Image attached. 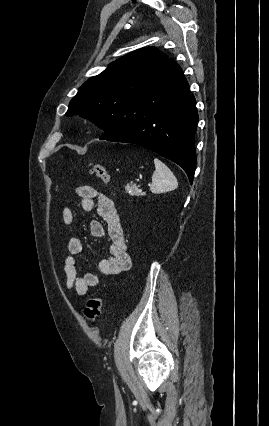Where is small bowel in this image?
Here are the masks:
<instances>
[{
  "mask_svg": "<svg viewBox=\"0 0 269 426\" xmlns=\"http://www.w3.org/2000/svg\"><path fill=\"white\" fill-rule=\"evenodd\" d=\"M76 193L81 199L82 210L91 212L96 209L98 216L106 224L105 230L102 221L93 220L90 223L92 237L102 238L107 231L111 241L110 257L100 262V272L104 275L116 276L127 271L131 266V258L125 242L124 229L113 201L89 185L79 186ZM62 221L66 225L74 224L75 212L71 208H64ZM82 248L83 243L80 238L71 237L68 240V255L64 261V273L66 287L74 290L80 296H87L91 288L99 286L100 278L92 272L82 275L78 273L75 256L82 251Z\"/></svg>",
  "mask_w": 269,
  "mask_h": 426,
  "instance_id": "c3829d8e",
  "label": "small bowel"
}]
</instances>
